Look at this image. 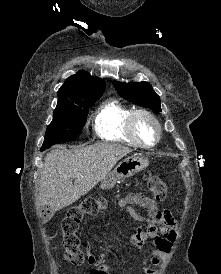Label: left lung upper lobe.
<instances>
[{
  "label": "left lung upper lobe",
  "instance_id": "obj_1",
  "mask_svg": "<svg viewBox=\"0 0 221 274\" xmlns=\"http://www.w3.org/2000/svg\"><path fill=\"white\" fill-rule=\"evenodd\" d=\"M113 86L124 99L136 105L150 108L156 113L161 112L160 97L154 92L149 83L113 81Z\"/></svg>",
  "mask_w": 221,
  "mask_h": 274
}]
</instances>
